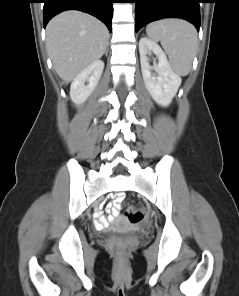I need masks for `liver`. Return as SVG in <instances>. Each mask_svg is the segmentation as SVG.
I'll use <instances>...</instances> for the list:
<instances>
[{"label": "liver", "instance_id": "6515ba94", "mask_svg": "<svg viewBox=\"0 0 239 296\" xmlns=\"http://www.w3.org/2000/svg\"><path fill=\"white\" fill-rule=\"evenodd\" d=\"M109 39L107 27L80 11L55 16L46 27V47L58 76L71 82L84 68L100 59Z\"/></svg>", "mask_w": 239, "mask_h": 296}]
</instances>
